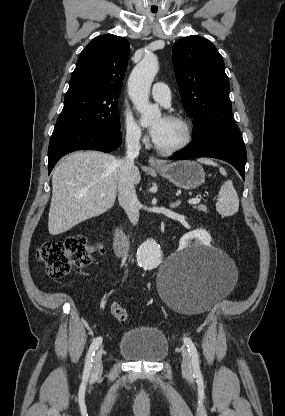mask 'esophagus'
Wrapping results in <instances>:
<instances>
[{
    "mask_svg": "<svg viewBox=\"0 0 285 416\" xmlns=\"http://www.w3.org/2000/svg\"><path fill=\"white\" fill-rule=\"evenodd\" d=\"M148 162H149V164H150L151 166H155V165L160 166V165L162 164V163L160 162V160H158L157 158H155V157H153V156H151V157L149 158Z\"/></svg>",
    "mask_w": 285,
    "mask_h": 416,
    "instance_id": "esophagus-1",
    "label": "esophagus"
}]
</instances>
